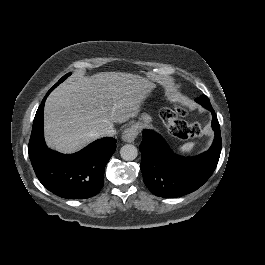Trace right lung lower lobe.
I'll list each match as a JSON object with an SVG mask.
<instances>
[{"label": "right lung lower lobe", "mask_w": 265, "mask_h": 265, "mask_svg": "<svg viewBox=\"0 0 265 265\" xmlns=\"http://www.w3.org/2000/svg\"><path fill=\"white\" fill-rule=\"evenodd\" d=\"M39 106L29 141V158L41 184L53 194L69 199L96 195L104 184V170L116 149V139L102 138L78 153L65 155L47 148L43 137L44 103Z\"/></svg>", "instance_id": "1"}]
</instances>
